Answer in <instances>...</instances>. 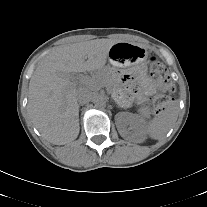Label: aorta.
<instances>
[{
    "mask_svg": "<svg viewBox=\"0 0 207 207\" xmlns=\"http://www.w3.org/2000/svg\"><path fill=\"white\" fill-rule=\"evenodd\" d=\"M95 106L98 108H104L106 106V100L104 97H99L95 100Z\"/></svg>",
    "mask_w": 207,
    "mask_h": 207,
    "instance_id": "1",
    "label": "aorta"
}]
</instances>
